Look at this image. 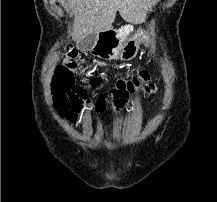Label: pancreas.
I'll return each mask as SVG.
<instances>
[{
    "label": "pancreas",
    "mask_w": 217,
    "mask_h": 202,
    "mask_svg": "<svg viewBox=\"0 0 217 202\" xmlns=\"http://www.w3.org/2000/svg\"><path fill=\"white\" fill-rule=\"evenodd\" d=\"M127 26H122L120 29V31H118V32H120V33H129V30H132V25H128V24H126Z\"/></svg>",
    "instance_id": "cf45deb5"
}]
</instances>
